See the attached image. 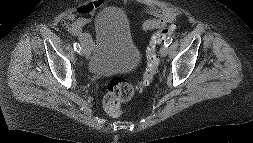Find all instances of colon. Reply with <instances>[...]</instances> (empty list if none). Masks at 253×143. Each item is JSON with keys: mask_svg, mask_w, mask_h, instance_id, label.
Wrapping results in <instances>:
<instances>
[{"mask_svg": "<svg viewBox=\"0 0 253 143\" xmlns=\"http://www.w3.org/2000/svg\"><path fill=\"white\" fill-rule=\"evenodd\" d=\"M154 22L148 24L153 27ZM176 31V27H167L158 30L150 39L147 50V67L142 74V79L138 85H134L125 78H114L108 86L104 97V108L106 112L112 117H119L122 114L121 104L130 100L136 89H143L150 85L158 68L157 48L164 41V39Z\"/></svg>", "mask_w": 253, "mask_h": 143, "instance_id": "5ec220e1", "label": "colon"}]
</instances>
